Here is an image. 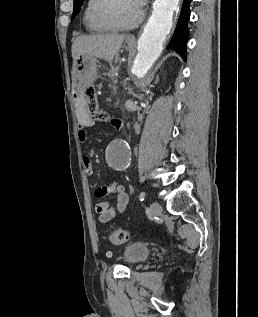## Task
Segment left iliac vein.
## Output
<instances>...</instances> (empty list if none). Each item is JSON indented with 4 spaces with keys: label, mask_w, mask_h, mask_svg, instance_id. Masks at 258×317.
<instances>
[{
    "label": "left iliac vein",
    "mask_w": 258,
    "mask_h": 317,
    "mask_svg": "<svg viewBox=\"0 0 258 317\" xmlns=\"http://www.w3.org/2000/svg\"><path fill=\"white\" fill-rule=\"evenodd\" d=\"M151 210L153 212L154 217H159L160 212H162V207L159 202H152L151 203Z\"/></svg>",
    "instance_id": "left-iliac-vein-1"
}]
</instances>
